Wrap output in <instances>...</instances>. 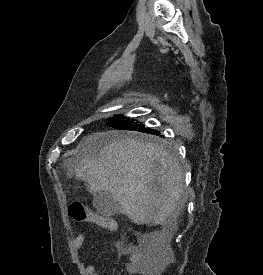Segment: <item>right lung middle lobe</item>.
<instances>
[{
    "label": "right lung middle lobe",
    "instance_id": "1",
    "mask_svg": "<svg viewBox=\"0 0 263 275\" xmlns=\"http://www.w3.org/2000/svg\"><path fill=\"white\" fill-rule=\"evenodd\" d=\"M108 125L118 130L134 131L138 135V138L146 141H165L163 139L164 136L160 135L159 131L145 127L125 116L115 115L113 118L108 119Z\"/></svg>",
    "mask_w": 263,
    "mask_h": 275
}]
</instances>
